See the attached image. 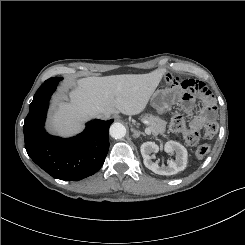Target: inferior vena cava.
Here are the masks:
<instances>
[{
  "mask_svg": "<svg viewBox=\"0 0 245 245\" xmlns=\"http://www.w3.org/2000/svg\"><path fill=\"white\" fill-rule=\"evenodd\" d=\"M95 117L99 118V119H107L108 115L103 114V113H98V114L95 115Z\"/></svg>",
  "mask_w": 245,
  "mask_h": 245,
  "instance_id": "inferior-vena-cava-1",
  "label": "inferior vena cava"
}]
</instances>
